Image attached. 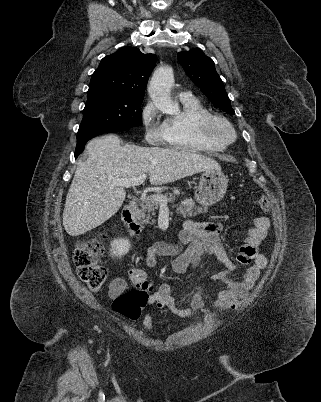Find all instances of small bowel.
Returning a JSON list of instances; mask_svg holds the SVG:
<instances>
[{
  "instance_id": "c3829d8e",
  "label": "small bowel",
  "mask_w": 321,
  "mask_h": 402,
  "mask_svg": "<svg viewBox=\"0 0 321 402\" xmlns=\"http://www.w3.org/2000/svg\"><path fill=\"white\" fill-rule=\"evenodd\" d=\"M271 222L267 217L256 216L252 226L246 231L243 245L237 255V262L248 265L241 279H234L228 273H217L213 276L215 281L223 284L213 303V309L221 314L240 306L246 298L248 291L254 286L261 272L267 266V259L262 254L260 246L265 239ZM222 225L217 222L198 223L192 220L185 222L178 234L177 243L157 242L146 253L147 266L154 267L160 256H176L172 262V270L183 275L189 267H196L205 255H213L222 262L228 271H234L236 263L220 239ZM189 244L190 248L182 252V245ZM129 279L149 291V306L167 308L178 317H192L204 309V297L197 291L183 299L189 304L187 308H180L178 301L172 294L169 284H160L155 288L146 273L138 267L129 272ZM127 288V281L117 277L112 280L109 289L110 298H116ZM143 327L151 330L153 327L152 314L147 312L142 319Z\"/></svg>"
}]
</instances>
